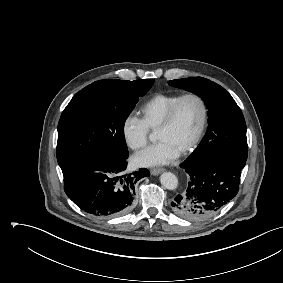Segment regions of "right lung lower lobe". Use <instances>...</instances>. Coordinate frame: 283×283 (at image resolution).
<instances>
[{"mask_svg":"<svg viewBox=\"0 0 283 283\" xmlns=\"http://www.w3.org/2000/svg\"><path fill=\"white\" fill-rule=\"evenodd\" d=\"M127 156L92 154L62 167L67 196L85 212L113 217L129 212L135 200L136 182L150 175L145 168L123 174Z\"/></svg>","mask_w":283,"mask_h":283,"instance_id":"obj_1","label":"right lung lower lobe"}]
</instances>
